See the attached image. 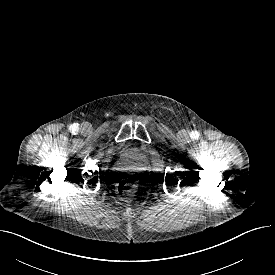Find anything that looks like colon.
Instances as JSON below:
<instances>
[{"mask_svg":"<svg viewBox=\"0 0 275 275\" xmlns=\"http://www.w3.org/2000/svg\"><path fill=\"white\" fill-rule=\"evenodd\" d=\"M136 189V184L132 180L122 181L117 186V193L123 199H130Z\"/></svg>","mask_w":275,"mask_h":275,"instance_id":"colon-1","label":"colon"}]
</instances>
